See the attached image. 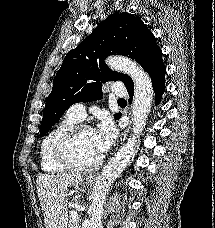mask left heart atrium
Listing matches in <instances>:
<instances>
[{"label": "left heart atrium", "instance_id": "left-heart-atrium-1", "mask_svg": "<svg viewBox=\"0 0 215 228\" xmlns=\"http://www.w3.org/2000/svg\"><path fill=\"white\" fill-rule=\"evenodd\" d=\"M94 134L97 147L104 154L116 140L117 129L114 121L108 116H102L100 124L94 130Z\"/></svg>", "mask_w": 215, "mask_h": 228}]
</instances>
